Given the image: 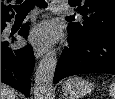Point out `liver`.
I'll use <instances>...</instances> for the list:
<instances>
[{"instance_id": "1", "label": "liver", "mask_w": 115, "mask_h": 99, "mask_svg": "<svg viewBox=\"0 0 115 99\" xmlns=\"http://www.w3.org/2000/svg\"><path fill=\"white\" fill-rule=\"evenodd\" d=\"M1 99H18L17 92L1 83Z\"/></svg>"}]
</instances>
